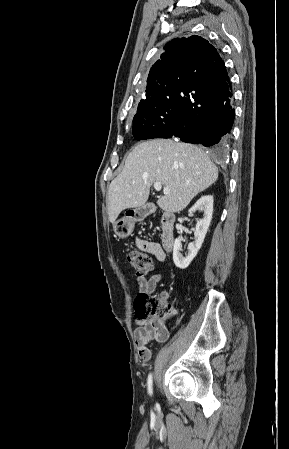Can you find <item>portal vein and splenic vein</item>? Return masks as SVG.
<instances>
[{
    "mask_svg": "<svg viewBox=\"0 0 289 449\" xmlns=\"http://www.w3.org/2000/svg\"><path fill=\"white\" fill-rule=\"evenodd\" d=\"M154 188L156 191H160L162 189V184L160 182H155L154 183ZM163 193L164 194H169L170 193V189L169 188H164L163 189Z\"/></svg>",
    "mask_w": 289,
    "mask_h": 449,
    "instance_id": "18ae733b",
    "label": "portal vein and splenic vein"
}]
</instances>
